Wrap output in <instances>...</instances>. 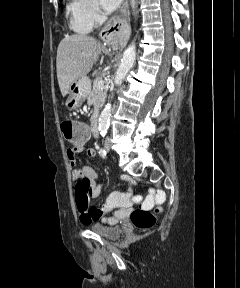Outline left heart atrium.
I'll return each mask as SVG.
<instances>
[{"label":"left heart atrium","mask_w":240,"mask_h":288,"mask_svg":"<svg viewBox=\"0 0 240 288\" xmlns=\"http://www.w3.org/2000/svg\"><path fill=\"white\" fill-rule=\"evenodd\" d=\"M121 1L122 0H100V3L107 12H111L118 7Z\"/></svg>","instance_id":"left-heart-atrium-1"}]
</instances>
